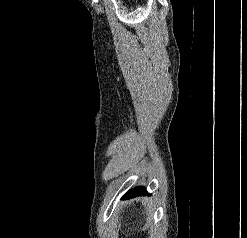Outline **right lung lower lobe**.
<instances>
[{
    "instance_id": "right-lung-lower-lobe-1",
    "label": "right lung lower lobe",
    "mask_w": 247,
    "mask_h": 238,
    "mask_svg": "<svg viewBox=\"0 0 247 238\" xmlns=\"http://www.w3.org/2000/svg\"><path fill=\"white\" fill-rule=\"evenodd\" d=\"M146 189L144 187H136L132 190H130L129 192H127L122 199H129V198H134L137 196H141V195H146Z\"/></svg>"
}]
</instances>
